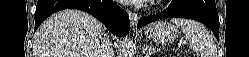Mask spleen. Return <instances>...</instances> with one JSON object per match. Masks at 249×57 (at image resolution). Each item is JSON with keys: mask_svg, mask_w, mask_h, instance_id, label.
Returning <instances> with one entry per match:
<instances>
[{"mask_svg": "<svg viewBox=\"0 0 249 57\" xmlns=\"http://www.w3.org/2000/svg\"><path fill=\"white\" fill-rule=\"evenodd\" d=\"M171 22L181 27L193 50L200 52L202 57H214V40L201 23L184 18H172Z\"/></svg>", "mask_w": 249, "mask_h": 57, "instance_id": "3e777b00", "label": "spleen"}]
</instances>
